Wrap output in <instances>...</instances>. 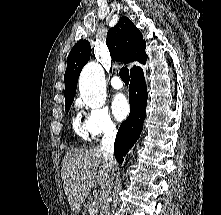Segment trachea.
<instances>
[{
  "instance_id": "obj_1",
  "label": "trachea",
  "mask_w": 221,
  "mask_h": 215,
  "mask_svg": "<svg viewBox=\"0 0 221 215\" xmlns=\"http://www.w3.org/2000/svg\"><path fill=\"white\" fill-rule=\"evenodd\" d=\"M120 77L124 83H129L130 78H129V70L127 67L121 68Z\"/></svg>"
}]
</instances>
